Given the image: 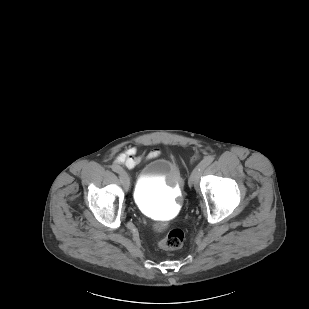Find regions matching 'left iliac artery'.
I'll list each match as a JSON object with an SVG mask.
<instances>
[{
  "label": "left iliac artery",
  "instance_id": "left-iliac-artery-1",
  "mask_svg": "<svg viewBox=\"0 0 309 309\" xmlns=\"http://www.w3.org/2000/svg\"><path fill=\"white\" fill-rule=\"evenodd\" d=\"M214 160V157L213 156H207L205 157L201 162L200 164L193 170L192 174H194V172L196 170H200V166L201 165H204L205 167L208 166L209 164H211Z\"/></svg>",
  "mask_w": 309,
  "mask_h": 309
}]
</instances>
